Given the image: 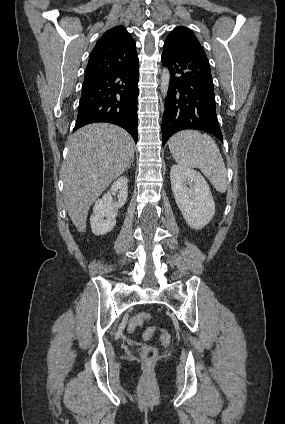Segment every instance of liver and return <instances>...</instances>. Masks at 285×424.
I'll list each match as a JSON object with an SVG mask.
<instances>
[{
  "instance_id": "obj_1",
  "label": "liver",
  "mask_w": 285,
  "mask_h": 424,
  "mask_svg": "<svg viewBox=\"0 0 285 424\" xmlns=\"http://www.w3.org/2000/svg\"><path fill=\"white\" fill-rule=\"evenodd\" d=\"M134 157V141L122 128L93 123L69 139L63 167L64 202L79 232H85L89 208Z\"/></svg>"
}]
</instances>
